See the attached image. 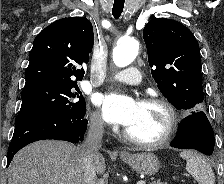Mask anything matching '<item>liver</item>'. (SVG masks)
I'll use <instances>...</instances> for the list:
<instances>
[{
    "label": "liver",
    "instance_id": "1",
    "mask_svg": "<svg viewBox=\"0 0 224 184\" xmlns=\"http://www.w3.org/2000/svg\"><path fill=\"white\" fill-rule=\"evenodd\" d=\"M79 147L42 140L21 149L8 168V184H82ZM97 174L105 172L103 155L94 159Z\"/></svg>",
    "mask_w": 224,
    "mask_h": 184
}]
</instances>
